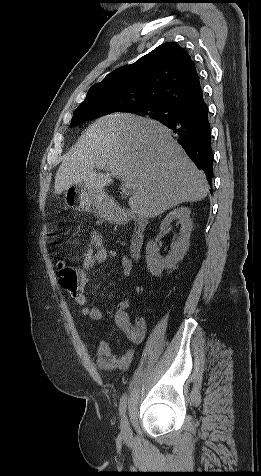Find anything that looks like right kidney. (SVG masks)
<instances>
[{
	"mask_svg": "<svg viewBox=\"0 0 261 476\" xmlns=\"http://www.w3.org/2000/svg\"><path fill=\"white\" fill-rule=\"evenodd\" d=\"M190 209L179 207L170 211L160 224V232L165 234L171 229V222L178 220L181 225L179 237L172 243L171 252L165 258H160L157 253L159 247L155 241H149L146 246V263L149 272L159 277L164 269H172L181 261L190 245V234L192 231V220Z\"/></svg>",
	"mask_w": 261,
	"mask_h": 476,
	"instance_id": "right-kidney-1",
	"label": "right kidney"
}]
</instances>
